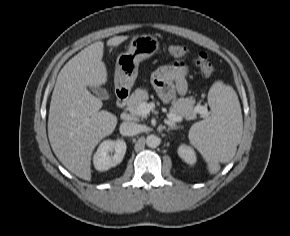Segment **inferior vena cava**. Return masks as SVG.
Segmentation results:
<instances>
[{"label":"inferior vena cava","instance_id":"602c4592","mask_svg":"<svg viewBox=\"0 0 290 236\" xmlns=\"http://www.w3.org/2000/svg\"><path fill=\"white\" fill-rule=\"evenodd\" d=\"M119 130L123 136H134L139 132V126L134 122H123Z\"/></svg>","mask_w":290,"mask_h":236}]
</instances>
